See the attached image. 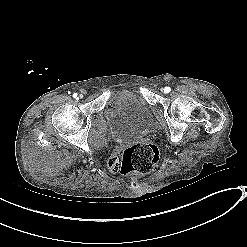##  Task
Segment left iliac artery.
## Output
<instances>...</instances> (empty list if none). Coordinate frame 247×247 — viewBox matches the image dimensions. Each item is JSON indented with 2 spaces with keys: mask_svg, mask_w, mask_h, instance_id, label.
<instances>
[{
  "mask_svg": "<svg viewBox=\"0 0 247 247\" xmlns=\"http://www.w3.org/2000/svg\"><path fill=\"white\" fill-rule=\"evenodd\" d=\"M164 91H165L166 93H168V92L171 91V88H170V87H165V88H164Z\"/></svg>",
  "mask_w": 247,
  "mask_h": 247,
  "instance_id": "44dca946",
  "label": "left iliac artery"
}]
</instances>
